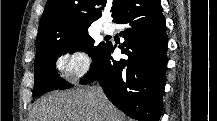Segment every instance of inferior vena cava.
Segmentation results:
<instances>
[{"label": "inferior vena cava", "instance_id": "inferior-vena-cava-1", "mask_svg": "<svg viewBox=\"0 0 217 121\" xmlns=\"http://www.w3.org/2000/svg\"><path fill=\"white\" fill-rule=\"evenodd\" d=\"M95 92H96V95H97V98L99 101H101L103 98H105L104 92L100 86H97L95 88Z\"/></svg>", "mask_w": 217, "mask_h": 121}]
</instances>
